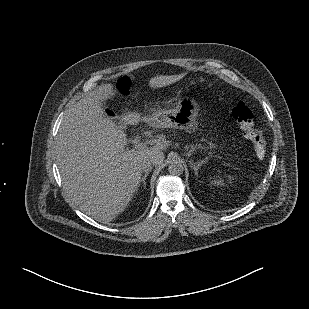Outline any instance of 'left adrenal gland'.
Listing matches in <instances>:
<instances>
[{"mask_svg": "<svg viewBox=\"0 0 309 309\" xmlns=\"http://www.w3.org/2000/svg\"><path fill=\"white\" fill-rule=\"evenodd\" d=\"M202 163H203V162L198 163V164H196V165L192 163V166H191V167H193L194 172H195V175H198V170H199V168L201 167Z\"/></svg>", "mask_w": 309, "mask_h": 309, "instance_id": "1", "label": "left adrenal gland"}]
</instances>
